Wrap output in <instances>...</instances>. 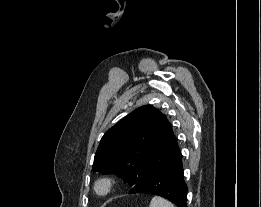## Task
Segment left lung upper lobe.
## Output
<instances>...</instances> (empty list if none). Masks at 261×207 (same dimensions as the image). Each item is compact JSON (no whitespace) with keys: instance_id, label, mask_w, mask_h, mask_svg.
<instances>
[{"instance_id":"5c2ea615","label":"left lung upper lobe","mask_w":261,"mask_h":207,"mask_svg":"<svg viewBox=\"0 0 261 207\" xmlns=\"http://www.w3.org/2000/svg\"><path fill=\"white\" fill-rule=\"evenodd\" d=\"M181 154L172 125L151 105L137 108L102 137L92 169L134 187Z\"/></svg>"}]
</instances>
